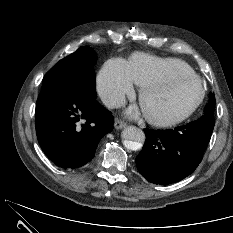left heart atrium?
I'll return each mask as SVG.
<instances>
[{
	"mask_svg": "<svg viewBox=\"0 0 233 233\" xmlns=\"http://www.w3.org/2000/svg\"><path fill=\"white\" fill-rule=\"evenodd\" d=\"M126 114L131 118H135L139 115V109L136 106H132L127 110Z\"/></svg>",
	"mask_w": 233,
	"mask_h": 233,
	"instance_id": "obj_1",
	"label": "left heart atrium"
}]
</instances>
